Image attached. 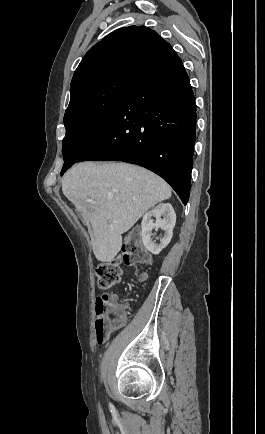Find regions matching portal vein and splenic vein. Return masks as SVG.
Segmentation results:
<instances>
[{
	"instance_id": "obj_1",
	"label": "portal vein and splenic vein",
	"mask_w": 265,
	"mask_h": 434,
	"mask_svg": "<svg viewBox=\"0 0 265 434\" xmlns=\"http://www.w3.org/2000/svg\"><path fill=\"white\" fill-rule=\"evenodd\" d=\"M85 202H89V204H95L94 200H85Z\"/></svg>"
}]
</instances>
